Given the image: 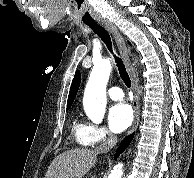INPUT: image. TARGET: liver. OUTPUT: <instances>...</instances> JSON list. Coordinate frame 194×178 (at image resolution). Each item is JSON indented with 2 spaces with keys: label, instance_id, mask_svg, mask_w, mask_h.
I'll use <instances>...</instances> for the list:
<instances>
[{
  "label": "liver",
  "instance_id": "6515ba94",
  "mask_svg": "<svg viewBox=\"0 0 194 178\" xmlns=\"http://www.w3.org/2000/svg\"><path fill=\"white\" fill-rule=\"evenodd\" d=\"M98 152L72 149L58 155L48 167L45 178H81L94 165Z\"/></svg>",
  "mask_w": 194,
  "mask_h": 178
}]
</instances>
